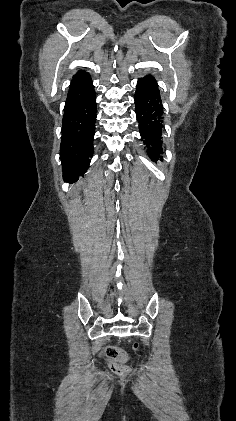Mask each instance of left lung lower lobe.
<instances>
[{
  "instance_id": "obj_1",
  "label": "left lung lower lobe",
  "mask_w": 236,
  "mask_h": 421,
  "mask_svg": "<svg viewBox=\"0 0 236 421\" xmlns=\"http://www.w3.org/2000/svg\"><path fill=\"white\" fill-rule=\"evenodd\" d=\"M135 105L142 141L147 147L148 156L155 162L163 153L161 149L163 106L158 83L153 76L147 75L139 78L136 86Z\"/></svg>"
}]
</instances>
